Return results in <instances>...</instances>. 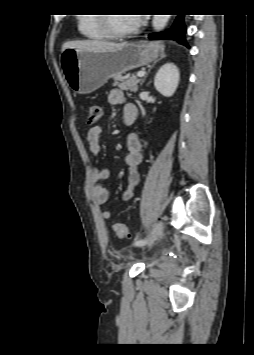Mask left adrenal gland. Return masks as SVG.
<instances>
[{"label": "left adrenal gland", "instance_id": "obj_1", "mask_svg": "<svg viewBox=\"0 0 254 355\" xmlns=\"http://www.w3.org/2000/svg\"><path fill=\"white\" fill-rule=\"evenodd\" d=\"M164 57H166V55L163 53V54L161 55V57H160L157 61H155V62L153 63V65L150 67V69L148 70V72L146 73V75L144 76V78L142 79L141 85L144 83V81H145V79H146L148 73H149L150 70L154 67V65H155L158 61H160L161 59H163Z\"/></svg>", "mask_w": 254, "mask_h": 355}]
</instances>
